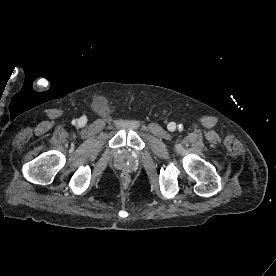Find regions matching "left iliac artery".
I'll use <instances>...</instances> for the list:
<instances>
[{
  "mask_svg": "<svg viewBox=\"0 0 276 276\" xmlns=\"http://www.w3.org/2000/svg\"><path fill=\"white\" fill-rule=\"evenodd\" d=\"M179 129H180V130L182 129V126H181V125H179Z\"/></svg>",
  "mask_w": 276,
  "mask_h": 276,
  "instance_id": "left-iliac-artery-1",
  "label": "left iliac artery"
}]
</instances>
